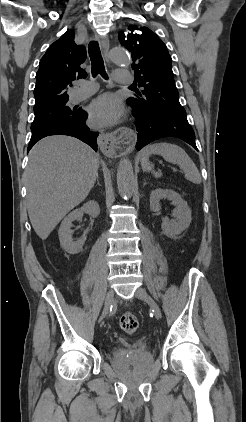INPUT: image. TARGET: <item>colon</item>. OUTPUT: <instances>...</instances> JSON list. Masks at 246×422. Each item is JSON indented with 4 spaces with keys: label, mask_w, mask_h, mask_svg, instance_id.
I'll use <instances>...</instances> for the list:
<instances>
[{
    "label": "colon",
    "mask_w": 246,
    "mask_h": 422,
    "mask_svg": "<svg viewBox=\"0 0 246 422\" xmlns=\"http://www.w3.org/2000/svg\"><path fill=\"white\" fill-rule=\"evenodd\" d=\"M120 328L127 334H133L139 326L137 317L132 313H125L119 319Z\"/></svg>",
    "instance_id": "1"
}]
</instances>
